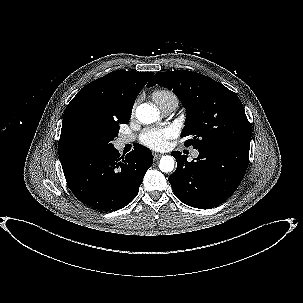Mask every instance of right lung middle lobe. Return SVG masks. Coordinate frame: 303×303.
<instances>
[{
	"mask_svg": "<svg viewBox=\"0 0 303 303\" xmlns=\"http://www.w3.org/2000/svg\"><path fill=\"white\" fill-rule=\"evenodd\" d=\"M119 128V125L106 124L92 115H79L71 124L69 143L81 156L95 154L114 147L112 141Z\"/></svg>",
	"mask_w": 303,
	"mask_h": 303,
	"instance_id": "obj_1",
	"label": "right lung middle lobe"
}]
</instances>
